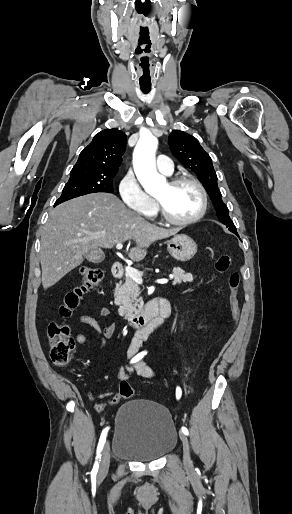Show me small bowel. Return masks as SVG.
Returning <instances> with one entry per match:
<instances>
[{
  "instance_id": "obj_1",
  "label": "small bowel",
  "mask_w": 292,
  "mask_h": 514,
  "mask_svg": "<svg viewBox=\"0 0 292 514\" xmlns=\"http://www.w3.org/2000/svg\"><path fill=\"white\" fill-rule=\"evenodd\" d=\"M109 314H110V310L108 307L103 306L100 308L101 317L107 318L109 316ZM77 321L80 324L90 326L99 332L100 337H101V340H100L101 346L104 345L105 342L108 339H110L115 333V326L113 324L107 325V326H100L98 320L90 315H81L77 318ZM163 322L164 321L162 320L160 325ZM74 340L79 345H85L89 342V337L84 333L77 332L74 335ZM132 374H136L142 378H155L157 376L156 372L150 366L146 365L143 362L136 363L128 371L125 369V367L123 365H120L118 368V372H117V376L120 381V384L127 383L128 379L131 377ZM102 396L104 397L105 401H102L103 400ZM102 396H99L98 400L101 401V404H105V405L113 404L114 406H117L119 404V401L121 400V397H120L121 393L119 391H113V392L109 391L108 393L103 392ZM90 400L94 401L95 397L91 396Z\"/></svg>"
}]
</instances>
